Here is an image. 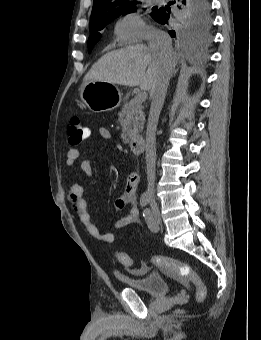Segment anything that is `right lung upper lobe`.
<instances>
[{
    "mask_svg": "<svg viewBox=\"0 0 261 340\" xmlns=\"http://www.w3.org/2000/svg\"><path fill=\"white\" fill-rule=\"evenodd\" d=\"M134 3V0H94L90 23L115 16Z\"/></svg>",
    "mask_w": 261,
    "mask_h": 340,
    "instance_id": "right-lung-upper-lobe-1",
    "label": "right lung upper lobe"
}]
</instances>
